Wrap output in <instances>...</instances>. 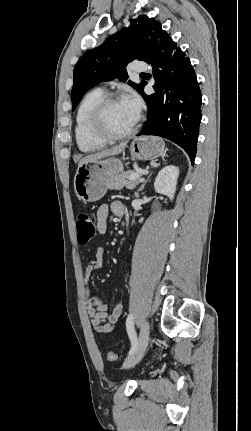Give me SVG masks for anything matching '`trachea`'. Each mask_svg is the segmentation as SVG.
Here are the masks:
<instances>
[{
    "mask_svg": "<svg viewBox=\"0 0 251 431\" xmlns=\"http://www.w3.org/2000/svg\"><path fill=\"white\" fill-rule=\"evenodd\" d=\"M140 75H145V73H141Z\"/></svg>",
    "mask_w": 251,
    "mask_h": 431,
    "instance_id": "trachea-1",
    "label": "trachea"
}]
</instances>
